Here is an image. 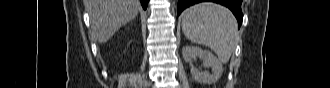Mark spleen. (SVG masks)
Here are the masks:
<instances>
[{
	"instance_id": "3e777b00",
	"label": "spleen",
	"mask_w": 330,
	"mask_h": 88,
	"mask_svg": "<svg viewBox=\"0 0 330 88\" xmlns=\"http://www.w3.org/2000/svg\"><path fill=\"white\" fill-rule=\"evenodd\" d=\"M182 30L193 43L212 49L227 63L238 41L237 22L231 11L221 5L204 2L187 8L181 15Z\"/></svg>"
}]
</instances>
